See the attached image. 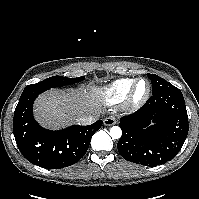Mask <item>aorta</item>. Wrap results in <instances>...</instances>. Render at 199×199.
Masks as SVG:
<instances>
[{
  "mask_svg": "<svg viewBox=\"0 0 199 199\" xmlns=\"http://www.w3.org/2000/svg\"><path fill=\"white\" fill-rule=\"evenodd\" d=\"M110 136L113 138V139H119L122 135V130L119 126H113L110 128Z\"/></svg>",
  "mask_w": 199,
  "mask_h": 199,
  "instance_id": "aorta-1",
  "label": "aorta"
}]
</instances>
